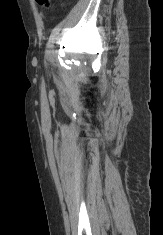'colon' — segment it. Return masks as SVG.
I'll return each instance as SVG.
<instances>
[{
    "mask_svg": "<svg viewBox=\"0 0 163 235\" xmlns=\"http://www.w3.org/2000/svg\"><path fill=\"white\" fill-rule=\"evenodd\" d=\"M37 4L43 8H51L55 5H64L66 0H36Z\"/></svg>",
    "mask_w": 163,
    "mask_h": 235,
    "instance_id": "obj_1",
    "label": "colon"
}]
</instances>
